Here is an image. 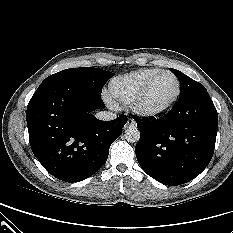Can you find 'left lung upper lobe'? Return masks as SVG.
Listing matches in <instances>:
<instances>
[{"mask_svg": "<svg viewBox=\"0 0 233 233\" xmlns=\"http://www.w3.org/2000/svg\"><path fill=\"white\" fill-rule=\"evenodd\" d=\"M170 71H172L176 75L180 82L181 88L179 99L185 98L193 92L206 90V88L201 83L191 79L184 73L172 68H170Z\"/></svg>", "mask_w": 233, "mask_h": 233, "instance_id": "left-lung-upper-lobe-1", "label": "left lung upper lobe"}]
</instances>
